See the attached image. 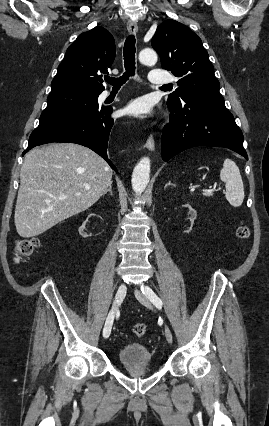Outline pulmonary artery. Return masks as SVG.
Returning a JSON list of instances; mask_svg holds the SVG:
<instances>
[{"label": "pulmonary artery", "mask_w": 269, "mask_h": 426, "mask_svg": "<svg viewBox=\"0 0 269 426\" xmlns=\"http://www.w3.org/2000/svg\"><path fill=\"white\" fill-rule=\"evenodd\" d=\"M148 78L152 83L161 85V86H167L169 83H171L174 80L171 74L166 73L162 69L150 70ZM108 94H109L108 92H104L103 96L106 97L108 96Z\"/></svg>", "instance_id": "pulmonary-artery-1"}]
</instances>
